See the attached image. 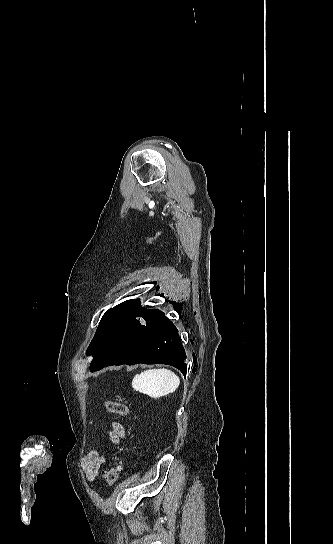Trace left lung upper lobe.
I'll list each match as a JSON object with an SVG mask.
<instances>
[{
  "mask_svg": "<svg viewBox=\"0 0 333 544\" xmlns=\"http://www.w3.org/2000/svg\"><path fill=\"white\" fill-rule=\"evenodd\" d=\"M165 316V313L158 310H148L141 307V302L137 300L125 301L114 308L109 309L99 324L97 333L87 349V355H93L94 359L91 362L90 370L98 366L104 358V353L99 345L101 329L104 324L112 319H128L131 318L136 324L141 325L139 320L146 322V327L156 324Z\"/></svg>",
  "mask_w": 333,
  "mask_h": 544,
  "instance_id": "1",
  "label": "left lung upper lobe"
}]
</instances>
